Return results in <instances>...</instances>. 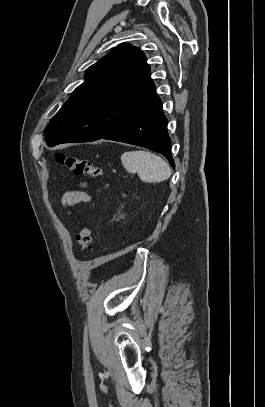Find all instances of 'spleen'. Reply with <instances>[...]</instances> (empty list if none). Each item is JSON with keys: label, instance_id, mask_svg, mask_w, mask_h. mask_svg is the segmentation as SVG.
Segmentation results:
<instances>
[{"label": "spleen", "instance_id": "1", "mask_svg": "<svg viewBox=\"0 0 265 407\" xmlns=\"http://www.w3.org/2000/svg\"><path fill=\"white\" fill-rule=\"evenodd\" d=\"M121 162L128 172H137L144 182H161L171 176L168 163L158 155L148 151L124 152L121 156Z\"/></svg>", "mask_w": 265, "mask_h": 407}]
</instances>
